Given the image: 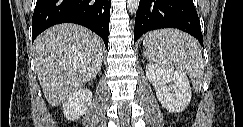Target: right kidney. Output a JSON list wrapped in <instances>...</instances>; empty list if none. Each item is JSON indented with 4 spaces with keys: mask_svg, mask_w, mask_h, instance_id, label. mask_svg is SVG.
<instances>
[{
    "mask_svg": "<svg viewBox=\"0 0 243 127\" xmlns=\"http://www.w3.org/2000/svg\"><path fill=\"white\" fill-rule=\"evenodd\" d=\"M92 100V92L81 88L74 92L63 104V113L68 120H77L88 110Z\"/></svg>",
    "mask_w": 243,
    "mask_h": 127,
    "instance_id": "obj_1",
    "label": "right kidney"
}]
</instances>
